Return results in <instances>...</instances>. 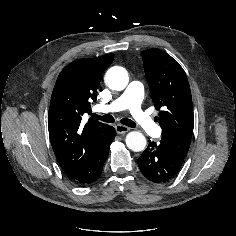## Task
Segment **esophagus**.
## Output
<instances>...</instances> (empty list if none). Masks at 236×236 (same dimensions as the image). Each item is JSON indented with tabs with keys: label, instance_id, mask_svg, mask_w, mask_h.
<instances>
[{
	"label": "esophagus",
	"instance_id": "obj_1",
	"mask_svg": "<svg viewBox=\"0 0 236 236\" xmlns=\"http://www.w3.org/2000/svg\"><path fill=\"white\" fill-rule=\"evenodd\" d=\"M115 130L117 134H124V133H127L130 129L127 126L117 124L115 126Z\"/></svg>",
	"mask_w": 236,
	"mask_h": 236
}]
</instances>
